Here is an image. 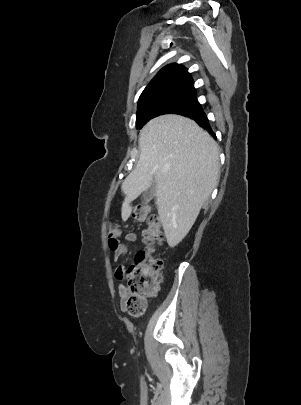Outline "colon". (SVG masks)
<instances>
[{"instance_id": "obj_1", "label": "colon", "mask_w": 301, "mask_h": 405, "mask_svg": "<svg viewBox=\"0 0 301 405\" xmlns=\"http://www.w3.org/2000/svg\"><path fill=\"white\" fill-rule=\"evenodd\" d=\"M133 219L147 222L143 231V241L146 248L135 256L134 263L127 272L128 282L126 295L122 301L123 309L133 318L139 317L147 298L153 296L161 282L163 261L158 257L155 246L163 241V229L159 216L152 212L148 203L135 206L132 210ZM120 230L116 226L109 229V247L113 250L118 242Z\"/></svg>"}]
</instances>
